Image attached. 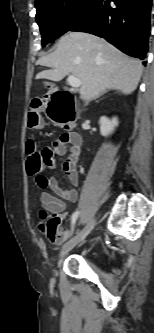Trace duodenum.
Listing matches in <instances>:
<instances>
[{"mask_svg":"<svg viewBox=\"0 0 154 333\" xmlns=\"http://www.w3.org/2000/svg\"><path fill=\"white\" fill-rule=\"evenodd\" d=\"M61 92L62 91H58L57 89L52 90V95L57 99V105L53 108V115L59 118L76 121L77 115L74 108L73 94L68 91H63L65 95V103H62V101L57 98V95Z\"/></svg>","mask_w":154,"mask_h":333,"instance_id":"1","label":"duodenum"}]
</instances>
